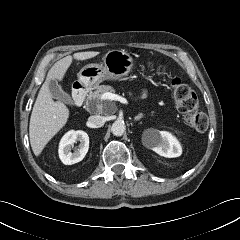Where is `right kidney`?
Listing matches in <instances>:
<instances>
[{"label": "right kidney", "mask_w": 240, "mask_h": 240, "mask_svg": "<svg viewBox=\"0 0 240 240\" xmlns=\"http://www.w3.org/2000/svg\"><path fill=\"white\" fill-rule=\"evenodd\" d=\"M77 141L80 142L77 150L71 152L72 145ZM89 149V136L82 130L67 132L61 139L59 144V157L66 165L80 162L85 157Z\"/></svg>", "instance_id": "ca27d5eb"}]
</instances>
